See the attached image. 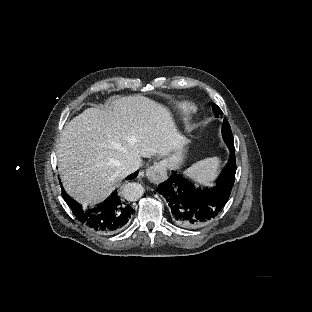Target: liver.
Returning a JSON list of instances; mask_svg holds the SVG:
<instances>
[{
  "mask_svg": "<svg viewBox=\"0 0 312 312\" xmlns=\"http://www.w3.org/2000/svg\"><path fill=\"white\" fill-rule=\"evenodd\" d=\"M181 141L165 107L130 96L71 120L57 140L56 155L67 192L93 207L128 175L134 159L169 156Z\"/></svg>",
  "mask_w": 312,
  "mask_h": 312,
  "instance_id": "1",
  "label": "liver"
}]
</instances>
